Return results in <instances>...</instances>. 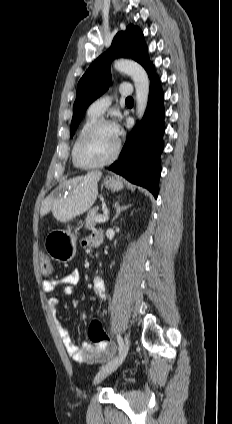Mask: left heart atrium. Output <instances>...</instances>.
Returning <instances> with one entry per match:
<instances>
[{
  "mask_svg": "<svg viewBox=\"0 0 232 424\" xmlns=\"http://www.w3.org/2000/svg\"><path fill=\"white\" fill-rule=\"evenodd\" d=\"M112 128H113V131H114L115 135L118 137L120 135V133H121V129H120L119 124L116 123V122L113 123L112 124Z\"/></svg>",
  "mask_w": 232,
  "mask_h": 424,
  "instance_id": "left-heart-atrium-1",
  "label": "left heart atrium"
}]
</instances>
